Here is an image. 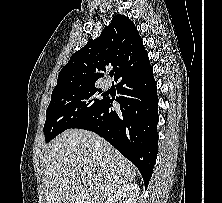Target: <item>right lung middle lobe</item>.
I'll use <instances>...</instances> for the list:
<instances>
[{"label": "right lung middle lobe", "instance_id": "right-lung-middle-lobe-1", "mask_svg": "<svg viewBox=\"0 0 222 203\" xmlns=\"http://www.w3.org/2000/svg\"><path fill=\"white\" fill-rule=\"evenodd\" d=\"M100 95L102 92L95 85L52 92L43 129L45 141L49 142L96 110L106 100V97L98 99Z\"/></svg>", "mask_w": 222, "mask_h": 203}]
</instances>
